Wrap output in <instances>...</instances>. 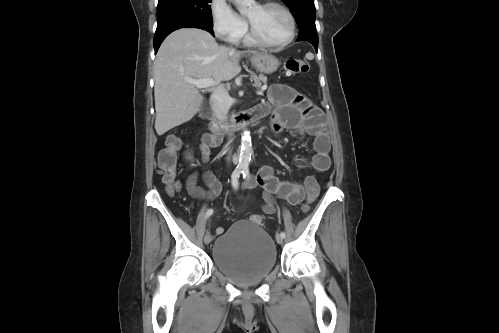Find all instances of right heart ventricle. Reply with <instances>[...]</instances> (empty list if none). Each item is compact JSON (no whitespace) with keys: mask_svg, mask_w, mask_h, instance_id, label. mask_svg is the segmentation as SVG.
I'll return each instance as SVG.
<instances>
[{"mask_svg":"<svg viewBox=\"0 0 499 333\" xmlns=\"http://www.w3.org/2000/svg\"><path fill=\"white\" fill-rule=\"evenodd\" d=\"M242 42L245 44V45H249V46H253L255 45L256 43L250 38V36L248 34H245L242 36Z\"/></svg>","mask_w":499,"mask_h":333,"instance_id":"right-heart-ventricle-1","label":"right heart ventricle"}]
</instances>
